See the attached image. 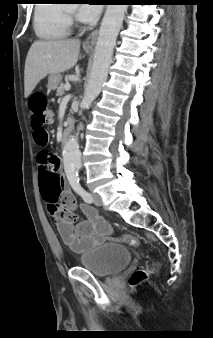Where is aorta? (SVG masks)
<instances>
[{"instance_id": "obj_1", "label": "aorta", "mask_w": 213, "mask_h": 338, "mask_svg": "<svg viewBox=\"0 0 213 338\" xmlns=\"http://www.w3.org/2000/svg\"><path fill=\"white\" fill-rule=\"evenodd\" d=\"M126 11V4L107 5L95 46L92 69L81 101L84 109L90 107L107 80L116 39ZM63 165L68 179L77 178L81 166V152L77 135L71 136L64 146Z\"/></svg>"}]
</instances>
